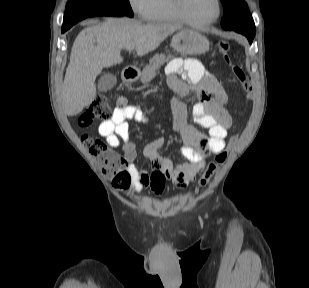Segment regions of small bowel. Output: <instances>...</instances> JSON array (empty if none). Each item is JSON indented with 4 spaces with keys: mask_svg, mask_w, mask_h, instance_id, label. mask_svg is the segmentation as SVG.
Masks as SVG:
<instances>
[{
    "mask_svg": "<svg viewBox=\"0 0 309 288\" xmlns=\"http://www.w3.org/2000/svg\"><path fill=\"white\" fill-rule=\"evenodd\" d=\"M181 72L186 75L185 81L177 76ZM167 73L169 85L179 95L173 105V120L174 128L182 140L181 154L186 162L174 165L171 160L162 158L158 150L163 144V139L157 138L143 149V154L152 161L154 171L148 174L136 167V148L129 140L128 120L145 123L148 116L138 106L129 105L124 97L118 98L112 117L103 121L98 128L99 135L105 138L109 147L118 148L121 141L123 142L122 150L134 193L150 189L154 194H161L168 178H172L180 188L187 187L204 171L206 157L225 148V137L232 125L231 117L224 108L226 95L223 88L199 61L174 59L169 63ZM189 95L196 98L192 107L194 121L208 130V137L187 121V105L184 98Z\"/></svg>",
    "mask_w": 309,
    "mask_h": 288,
    "instance_id": "obj_1",
    "label": "small bowel"
}]
</instances>
